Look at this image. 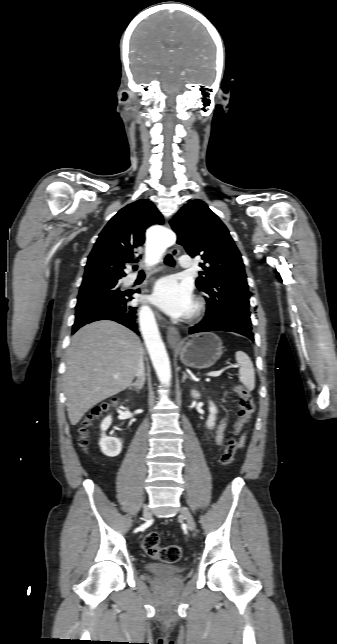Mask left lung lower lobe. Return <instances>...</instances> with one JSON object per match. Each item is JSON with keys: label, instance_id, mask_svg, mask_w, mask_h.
Here are the masks:
<instances>
[{"label": "left lung lower lobe", "instance_id": "1", "mask_svg": "<svg viewBox=\"0 0 337 644\" xmlns=\"http://www.w3.org/2000/svg\"><path fill=\"white\" fill-rule=\"evenodd\" d=\"M209 331L235 332L254 341V334L251 328L245 327L221 316L205 315L204 319L199 324L190 328V334Z\"/></svg>", "mask_w": 337, "mask_h": 644}]
</instances>
